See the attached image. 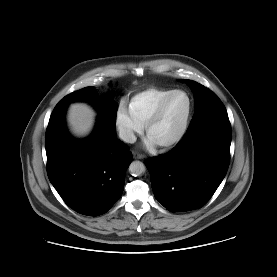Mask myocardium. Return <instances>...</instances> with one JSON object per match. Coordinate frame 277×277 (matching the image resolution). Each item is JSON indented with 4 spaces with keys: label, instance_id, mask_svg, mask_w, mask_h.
<instances>
[{
    "label": "myocardium",
    "instance_id": "myocardium-1",
    "mask_svg": "<svg viewBox=\"0 0 277 277\" xmlns=\"http://www.w3.org/2000/svg\"><path fill=\"white\" fill-rule=\"evenodd\" d=\"M182 93L184 94L187 99H188V111H187V115L185 118V121L183 123L182 128L180 129V131L178 132V134L176 136H174L172 139H170L169 141H166L164 143L158 144V146L161 149H168L171 148L173 146H175L176 144H178L186 135L189 126H190V122H191V118H192V114H193V99L191 97V95L183 90V89H175L172 92H170L168 95H166L157 105V107L155 108V110L153 111V113L151 114V116L148 118L147 122L145 123V132L147 135H149V131L151 129V127L158 121V119L161 117L163 110L165 108V106L167 105V103L169 102V100L176 94Z\"/></svg>",
    "mask_w": 277,
    "mask_h": 277
}]
</instances>
